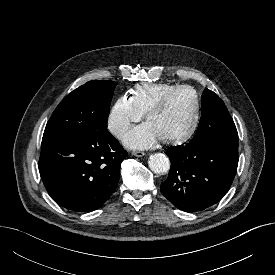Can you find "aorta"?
<instances>
[{"label":"aorta","mask_w":275,"mask_h":275,"mask_svg":"<svg viewBox=\"0 0 275 275\" xmlns=\"http://www.w3.org/2000/svg\"><path fill=\"white\" fill-rule=\"evenodd\" d=\"M148 165L154 173L165 174L170 169V160L162 153H155L149 157Z\"/></svg>","instance_id":"1"}]
</instances>
